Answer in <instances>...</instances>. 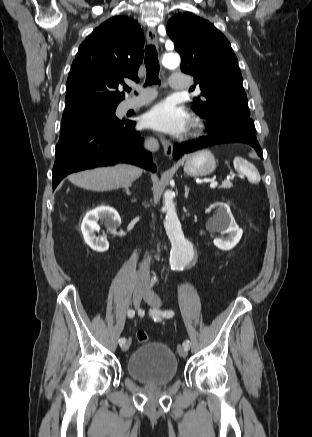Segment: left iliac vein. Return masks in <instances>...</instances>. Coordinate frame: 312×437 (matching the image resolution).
I'll return each instance as SVG.
<instances>
[{"label": "left iliac vein", "instance_id": "4c4485c4", "mask_svg": "<svg viewBox=\"0 0 312 437\" xmlns=\"http://www.w3.org/2000/svg\"><path fill=\"white\" fill-rule=\"evenodd\" d=\"M143 297H144V300L152 307L158 309L161 306V301H160L159 297L150 289H146L144 291ZM177 351L181 357H186L188 354L187 348H185L184 346H181V345H179L177 347Z\"/></svg>", "mask_w": 312, "mask_h": 437}]
</instances>
